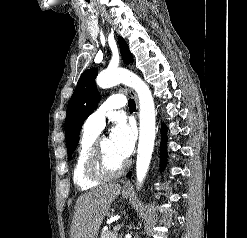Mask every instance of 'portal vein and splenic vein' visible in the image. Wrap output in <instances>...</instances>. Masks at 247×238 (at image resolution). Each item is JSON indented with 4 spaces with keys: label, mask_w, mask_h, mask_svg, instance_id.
<instances>
[{
    "label": "portal vein and splenic vein",
    "mask_w": 247,
    "mask_h": 238,
    "mask_svg": "<svg viewBox=\"0 0 247 238\" xmlns=\"http://www.w3.org/2000/svg\"><path fill=\"white\" fill-rule=\"evenodd\" d=\"M120 227H121L120 224L116 225V226L113 228V231H114V232L119 231Z\"/></svg>",
    "instance_id": "portal-vein-and-splenic-vein-1"
}]
</instances>
